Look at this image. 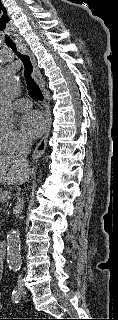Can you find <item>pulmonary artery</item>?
Returning a JSON list of instances; mask_svg holds the SVG:
<instances>
[{"label":"pulmonary artery","instance_id":"1","mask_svg":"<svg viewBox=\"0 0 118 320\" xmlns=\"http://www.w3.org/2000/svg\"><path fill=\"white\" fill-rule=\"evenodd\" d=\"M32 106V103L29 99H19L14 102V107L17 111L28 110Z\"/></svg>","mask_w":118,"mask_h":320}]
</instances>
